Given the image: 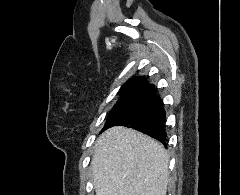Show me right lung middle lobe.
Instances as JSON below:
<instances>
[{"label": "right lung middle lobe", "instance_id": "right-lung-middle-lobe-1", "mask_svg": "<svg viewBox=\"0 0 240 195\" xmlns=\"http://www.w3.org/2000/svg\"><path fill=\"white\" fill-rule=\"evenodd\" d=\"M148 95H120L119 100L117 101L116 105L113 107L112 111L110 112L107 122L102 131L106 130L107 128L115 125L124 117L135 111L139 108L144 101L146 100Z\"/></svg>", "mask_w": 240, "mask_h": 195}]
</instances>
